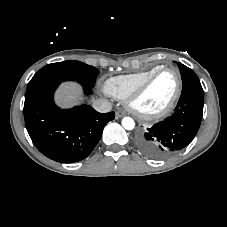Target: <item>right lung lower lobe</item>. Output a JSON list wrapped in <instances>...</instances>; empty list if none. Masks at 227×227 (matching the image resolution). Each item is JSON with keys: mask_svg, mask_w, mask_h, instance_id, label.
I'll return each mask as SVG.
<instances>
[{"mask_svg": "<svg viewBox=\"0 0 227 227\" xmlns=\"http://www.w3.org/2000/svg\"><path fill=\"white\" fill-rule=\"evenodd\" d=\"M67 80L48 76L30 81L24 103L26 128L32 142L42 154L61 163L86 158L99 142L105 125L115 117L114 112L99 113L88 105L58 108L53 94ZM83 88L86 95L92 94L91 87Z\"/></svg>", "mask_w": 227, "mask_h": 227, "instance_id": "1", "label": "right lung lower lobe"}]
</instances>
